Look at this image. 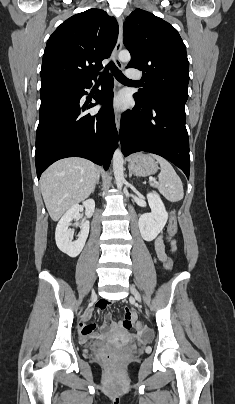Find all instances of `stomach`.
<instances>
[{"mask_svg": "<svg viewBox=\"0 0 235 404\" xmlns=\"http://www.w3.org/2000/svg\"><path fill=\"white\" fill-rule=\"evenodd\" d=\"M129 170L138 176H148L157 172L158 166L147 154L137 153L129 158Z\"/></svg>", "mask_w": 235, "mask_h": 404, "instance_id": "1", "label": "stomach"}]
</instances>
